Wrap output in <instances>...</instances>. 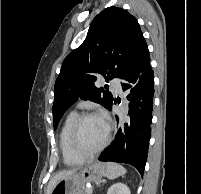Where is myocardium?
Segmentation results:
<instances>
[{
    "label": "myocardium",
    "instance_id": "obj_1",
    "mask_svg": "<svg viewBox=\"0 0 201 194\" xmlns=\"http://www.w3.org/2000/svg\"><path fill=\"white\" fill-rule=\"evenodd\" d=\"M91 117H98V115L95 113H92V112H83V113L79 114L75 118V120L72 124L71 130H70L69 140H70L71 149L73 150V152L76 155H78L84 159L91 158V157L98 155L107 146V144L110 141V133L107 130V135H106L104 141L96 149H94L92 151H86L81 147L80 141H79L81 125L84 122V120L91 118Z\"/></svg>",
    "mask_w": 201,
    "mask_h": 194
}]
</instances>
